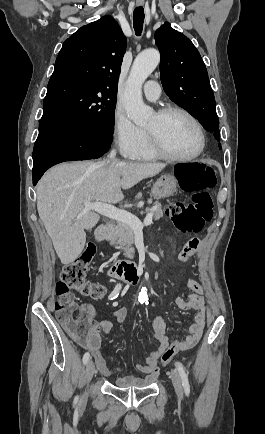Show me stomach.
<instances>
[{
    "instance_id": "stomach-1",
    "label": "stomach",
    "mask_w": 265,
    "mask_h": 434,
    "mask_svg": "<svg viewBox=\"0 0 265 434\" xmlns=\"http://www.w3.org/2000/svg\"><path fill=\"white\" fill-rule=\"evenodd\" d=\"M177 180L174 176H161L154 184L151 194L155 200H160V198H169L173 196L176 192Z\"/></svg>"
}]
</instances>
